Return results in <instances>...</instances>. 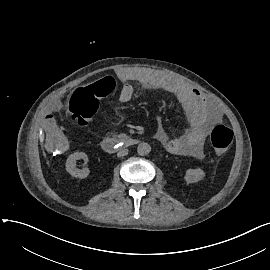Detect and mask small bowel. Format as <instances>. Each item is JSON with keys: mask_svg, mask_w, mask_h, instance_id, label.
<instances>
[{"mask_svg": "<svg viewBox=\"0 0 270 270\" xmlns=\"http://www.w3.org/2000/svg\"><path fill=\"white\" fill-rule=\"evenodd\" d=\"M123 81H137L147 86L165 90L191 108L190 130L188 133L171 137L163 127H159L155 137L173 154L190 155L197 159L204 156L203 145L209 130L221 121V115L214 108L213 103L203 96L197 89L181 84L168 75L149 68H135L121 72ZM134 95L133 87L125 83L120 91L121 102H129ZM48 150L53 155H62L67 150V141L57 136L53 121L44 124Z\"/></svg>", "mask_w": 270, "mask_h": 270, "instance_id": "1", "label": "small bowel"}]
</instances>
